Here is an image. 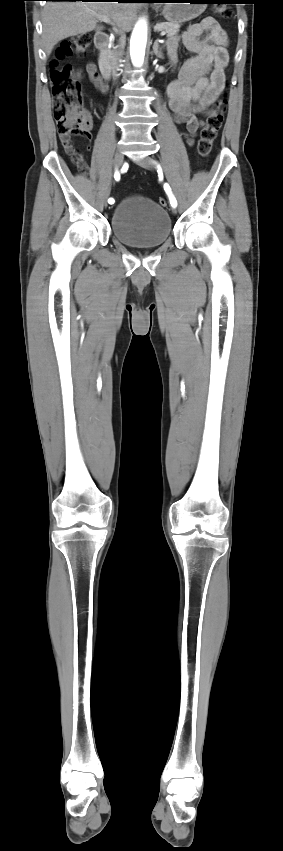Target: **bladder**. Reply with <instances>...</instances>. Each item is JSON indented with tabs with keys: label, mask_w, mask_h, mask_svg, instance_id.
I'll return each mask as SVG.
<instances>
[{
	"label": "bladder",
	"mask_w": 283,
	"mask_h": 851,
	"mask_svg": "<svg viewBox=\"0 0 283 851\" xmlns=\"http://www.w3.org/2000/svg\"><path fill=\"white\" fill-rule=\"evenodd\" d=\"M111 230L115 238L127 246L153 248L170 236L171 220L165 208L153 200L132 196L114 208Z\"/></svg>",
	"instance_id": "1"
}]
</instances>
